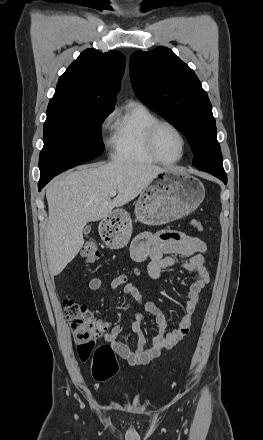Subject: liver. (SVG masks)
Here are the masks:
<instances>
[{
	"label": "liver",
	"instance_id": "obj_1",
	"mask_svg": "<svg viewBox=\"0 0 263 440\" xmlns=\"http://www.w3.org/2000/svg\"><path fill=\"white\" fill-rule=\"evenodd\" d=\"M166 168L113 161L84 166L56 178L46 189L49 220L45 248L51 275L60 274L84 244L83 229L133 199ZM117 191L112 200L110 193Z\"/></svg>",
	"mask_w": 263,
	"mask_h": 440
}]
</instances>
